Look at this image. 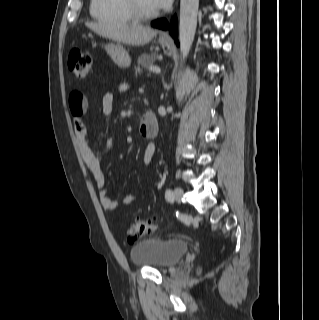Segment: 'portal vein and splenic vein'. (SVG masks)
<instances>
[{
	"label": "portal vein and splenic vein",
	"instance_id": "18ae733b",
	"mask_svg": "<svg viewBox=\"0 0 319 320\" xmlns=\"http://www.w3.org/2000/svg\"><path fill=\"white\" fill-rule=\"evenodd\" d=\"M149 70H150L151 72H155V73H160V72H161L160 68H159V67H156V66H151V67L149 68Z\"/></svg>",
	"mask_w": 319,
	"mask_h": 320
}]
</instances>
